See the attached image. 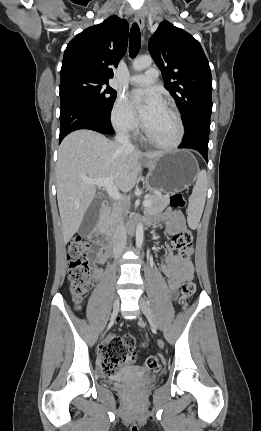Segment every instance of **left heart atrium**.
Listing matches in <instances>:
<instances>
[{"label":"left heart atrium","mask_w":261,"mask_h":431,"mask_svg":"<svg viewBox=\"0 0 261 431\" xmlns=\"http://www.w3.org/2000/svg\"><path fill=\"white\" fill-rule=\"evenodd\" d=\"M129 101L144 125L163 106L161 96L153 89H135L129 94Z\"/></svg>","instance_id":"39dd6f15"}]
</instances>
